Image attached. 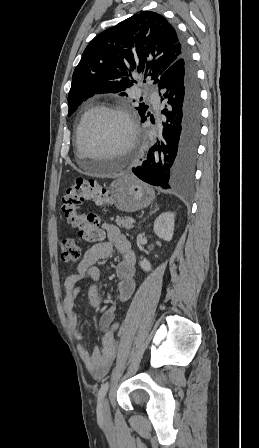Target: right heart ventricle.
I'll list each match as a JSON object with an SVG mask.
<instances>
[{
	"label": "right heart ventricle",
	"instance_id": "right-heart-ventricle-1",
	"mask_svg": "<svg viewBox=\"0 0 259 448\" xmlns=\"http://www.w3.org/2000/svg\"><path fill=\"white\" fill-rule=\"evenodd\" d=\"M98 109H99V104L96 102H92L88 105V107L82 113V115L76 125L75 131H74V138H73L74 148L79 149L78 138H79V133H80L83 123Z\"/></svg>",
	"mask_w": 259,
	"mask_h": 448
}]
</instances>
